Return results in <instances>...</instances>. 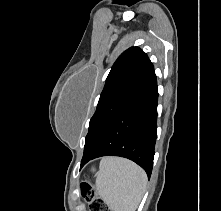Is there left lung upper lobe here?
I'll list each match as a JSON object with an SVG mask.
<instances>
[{
	"label": "left lung upper lobe",
	"instance_id": "obj_1",
	"mask_svg": "<svg viewBox=\"0 0 221 211\" xmlns=\"http://www.w3.org/2000/svg\"><path fill=\"white\" fill-rule=\"evenodd\" d=\"M154 67L138 47L124 51L113 64L90 120L85 138L87 153L119 112L138 94Z\"/></svg>",
	"mask_w": 221,
	"mask_h": 211
}]
</instances>
